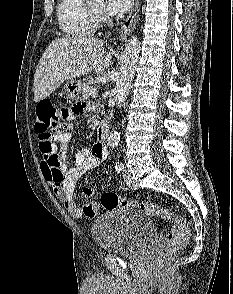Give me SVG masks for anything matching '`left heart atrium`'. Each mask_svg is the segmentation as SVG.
<instances>
[{
	"instance_id": "obj_1",
	"label": "left heart atrium",
	"mask_w": 233,
	"mask_h": 294,
	"mask_svg": "<svg viewBox=\"0 0 233 294\" xmlns=\"http://www.w3.org/2000/svg\"><path fill=\"white\" fill-rule=\"evenodd\" d=\"M133 0H108L106 11L109 15H120L129 10Z\"/></svg>"
}]
</instances>
